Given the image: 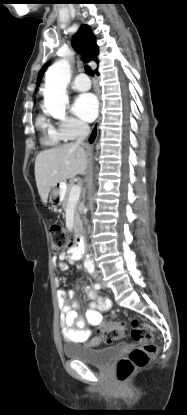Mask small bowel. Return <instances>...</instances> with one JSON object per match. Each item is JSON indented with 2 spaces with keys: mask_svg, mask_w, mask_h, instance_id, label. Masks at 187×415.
Segmentation results:
<instances>
[{
  "mask_svg": "<svg viewBox=\"0 0 187 415\" xmlns=\"http://www.w3.org/2000/svg\"><path fill=\"white\" fill-rule=\"evenodd\" d=\"M67 258H72V255L63 253L55 258L58 268L62 271L68 269L65 261ZM85 293L90 300V306L86 311V321L79 319L75 312L78 306L75 292L73 290L67 293L62 290L58 291L57 300L61 311V334L66 343L95 347L101 339L92 335L91 327L99 326L102 323V312L109 309L111 302L108 298L98 297L96 291L92 288H86Z\"/></svg>",
  "mask_w": 187,
  "mask_h": 415,
  "instance_id": "small-bowel-1",
  "label": "small bowel"
}]
</instances>
